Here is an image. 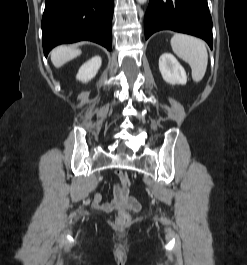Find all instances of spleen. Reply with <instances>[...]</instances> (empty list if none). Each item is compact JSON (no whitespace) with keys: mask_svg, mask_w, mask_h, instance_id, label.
Listing matches in <instances>:
<instances>
[{"mask_svg":"<svg viewBox=\"0 0 247 265\" xmlns=\"http://www.w3.org/2000/svg\"><path fill=\"white\" fill-rule=\"evenodd\" d=\"M170 43L173 52L190 65L193 80L201 81L208 63L205 43L201 39L180 33L175 34Z\"/></svg>","mask_w":247,"mask_h":265,"instance_id":"spleen-1","label":"spleen"}]
</instances>
